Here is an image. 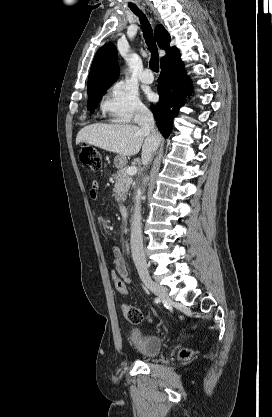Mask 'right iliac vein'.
I'll use <instances>...</instances> for the list:
<instances>
[{
    "label": "right iliac vein",
    "mask_w": 272,
    "mask_h": 417,
    "mask_svg": "<svg viewBox=\"0 0 272 417\" xmlns=\"http://www.w3.org/2000/svg\"><path fill=\"white\" fill-rule=\"evenodd\" d=\"M143 282L145 286L154 294H156L163 302H168L170 300L168 292L163 286L155 283L150 278H144Z\"/></svg>",
    "instance_id": "63e3f726"
}]
</instances>
